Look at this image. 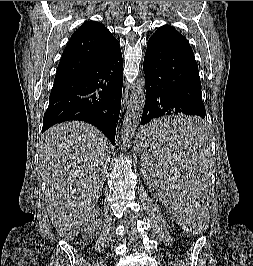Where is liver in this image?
I'll return each instance as SVG.
<instances>
[{
  "label": "liver",
  "mask_w": 253,
  "mask_h": 266,
  "mask_svg": "<svg viewBox=\"0 0 253 266\" xmlns=\"http://www.w3.org/2000/svg\"><path fill=\"white\" fill-rule=\"evenodd\" d=\"M109 148L107 138L84 122L61 123L45 132L40 159L46 207L57 232L67 240L75 239L100 197Z\"/></svg>",
  "instance_id": "1"
}]
</instances>
